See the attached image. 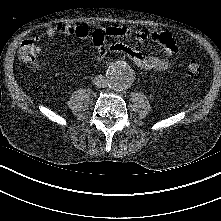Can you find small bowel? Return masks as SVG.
<instances>
[{
  "mask_svg": "<svg viewBox=\"0 0 221 221\" xmlns=\"http://www.w3.org/2000/svg\"><path fill=\"white\" fill-rule=\"evenodd\" d=\"M44 36L53 38L58 35L74 36L80 39H90L97 53V61H102L107 52L121 54L130 59L138 68L146 70L162 71L173 66V61L162 58L154 53H143L134 47L121 42L106 44V37L133 39L137 42H154L161 45L166 53L176 54L178 46L174 38L165 32L141 31L125 26H110L103 29H89L85 25L58 24L45 29ZM36 43L41 42V36L33 38ZM39 49V48H38Z\"/></svg>",
  "mask_w": 221,
  "mask_h": 221,
  "instance_id": "1",
  "label": "small bowel"
}]
</instances>
